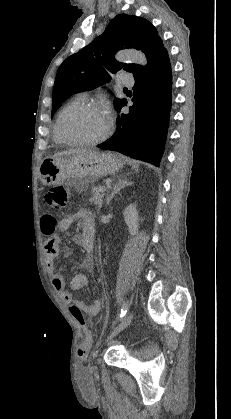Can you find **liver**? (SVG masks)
<instances>
[{
	"label": "liver",
	"mask_w": 231,
	"mask_h": 419,
	"mask_svg": "<svg viewBox=\"0 0 231 419\" xmlns=\"http://www.w3.org/2000/svg\"><path fill=\"white\" fill-rule=\"evenodd\" d=\"M88 152H91V151L86 150V149H71V150H66L63 152H58L53 157H63V156H69V155H74V154H85Z\"/></svg>",
	"instance_id": "obj_1"
}]
</instances>
